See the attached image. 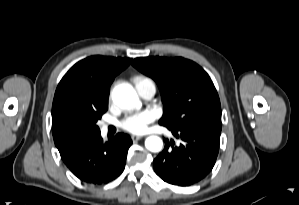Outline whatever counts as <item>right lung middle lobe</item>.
Wrapping results in <instances>:
<instances>
[{"label":"right lung middle lobe","instance_id":"obj_1","mask_svg":"<svg viewBox=\"0 0 299 205\" xmlns=\"http://www.w3.org/2000/svg\"><path fill=\"white\" fill-rule=\"evenodd\" d=\"M108 104L84 109H69L57 121L55 134L59 146L66 149L86 137L100 133L97 121L107 111Z\"/></svg>","mask_w":299,"mask_h":205}]
</instances>
